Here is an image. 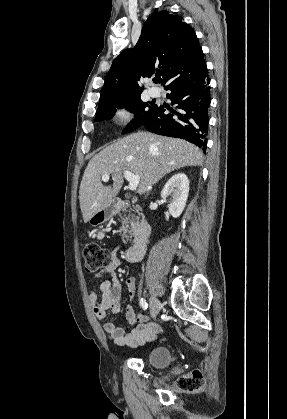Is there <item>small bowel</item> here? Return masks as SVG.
<instances>
[{"label":"small bowel","mask_w":287,"mask_h":419,"mask_svg":"<svg viewBox=\"0 0 287 419\" xmlns=\"http://www.w3.org/2000/svg\"><path fill=\"white\" fill-rule=\"evenodd\" d=\"M119 251L120 248L115 249L111 254L110 263L93 276V282L98 285L101 298L98 299L96 290H92L90 301L93 305L94 314L100 320L106 318L108 310L116 314L121 309V284L115 275V271L120 264L118 257ZM105 277H110V279H104ZM126 286L130 302L126 307L125 315L133 328L129 332H126L123 328L116 326L112 322H105L103 327L116 345L137 347L152 340L161 331V327L157 323L147 322L144 314H136L133 305L135 278H127Z\"/></svg>","instance_id":"c3829d8e"}]
</instances>
